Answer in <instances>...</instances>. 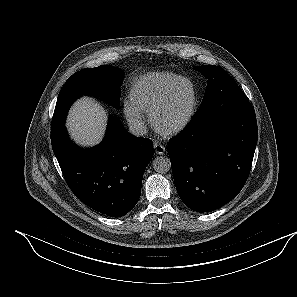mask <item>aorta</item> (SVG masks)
Masks as SVG:
<instances>
[{
  "mask_svg": "<svg viewBox=\"0 0 297 297\" xmlns=\"http://www.w3.org/2000/svg\"><path fill=\"white\" fill-rule=\"evenodd\" d=\"M153 168L158 173H166L171 169L170 159L167 157L159 156L153 161Z\"/></svg>",
  "mask_w": 297,
  "mask_h": 297,
  "instance_id": "aorta-1",
  "label": "aorta"
}]
</instances>
